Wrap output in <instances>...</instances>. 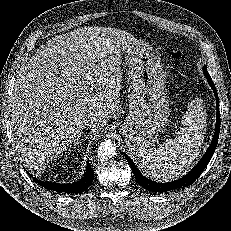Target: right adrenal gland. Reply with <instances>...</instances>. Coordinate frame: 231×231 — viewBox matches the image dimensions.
<instances>
[{
    "instance_id": "obj_1",
    "label": "right adrenal gland",
    "mask_w": 231,
    "mask_h": 231,
    "mask_svg": "<svg viewBox=\"0 0 231 231\" xmlns=\"http://www.w3.org/2000/svg\"><path fill=\"white\" fill-rule=\"evenodd\" d=\"M79 139H80V138H78V139L73 143L74 146H76V144L79 143Z\"/></svg>"
}]
</instances>
